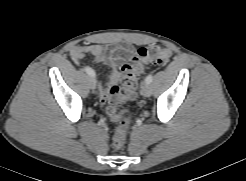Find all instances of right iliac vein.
Listing matches in <instances>:
<instances>
[{"label":"right iliac vein","instance_id":"63e3f726","mask_svg":"<svg viewBox=\"0 0 246 181\" xmlns=\"http://www.w3.org/2000/svg\"><path fill=\"white\" fill-rule=\"evenodd\" d=\"M89 85H90V88L92 90H94L96 88V81H95V79L93 77L89 78Z\"/></svg>","mask_w":246,"mask_h":181}]
</instances>
